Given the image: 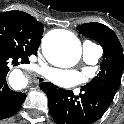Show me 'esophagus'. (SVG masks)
I'll use <instances>...</instances> for the list:
<instances>
[{"mask_svg":"<svg viewBox=\"0 0 124 124\" xmlns=\"http://www.w3.org/2000/svg\"><path fill=\"white\" fill-rule=\"evenodd\" d=\"M44 80H45L44 77L36 76V82H41V81H44Z\"/></svg>","mask_w":124,"mask_h":124,"instance_id":"1","label":"esophagus"}]
</instances>
